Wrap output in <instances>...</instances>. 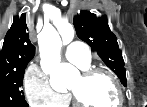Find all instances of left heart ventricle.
I'll use <instances>...</instances> for the list:
<instances>
[{
    "label": "left heart ventricle",
    "mask_w": 147,
    "mask_h": 107,
    "mask_svg": "<svg viewBox=\"0 0 147 107\" xmlns=\"http://www.w3.org/2000/svg\"><path fill=\"white\" fill-rule=\"evenodd\" d=\"M70 89L88 107H112L116 103L114 84L102 74L87 80L79 76L71 84Z\"/></svg>",
    "instance_id": "obj_1"
}]
</instances>
